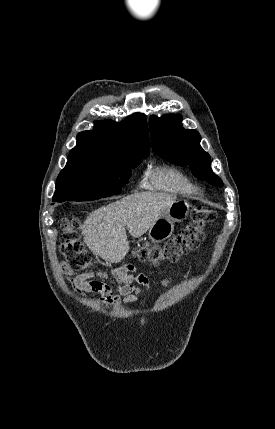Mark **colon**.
I'll list each match as a JSON object with an SVG mask.
<instances>
[{
	"instance_id": "obj_1",
	"label": "colon",
	"mask_w": 275,
	"mask_h": 429,
	"mask_svg": "<svg viewBox=\"0 0 275 429\" xmlns=\"http://www.w3.org/2000/svg\"><path fill=\"white\" fill-rule=\"evenodd\" d=\"M216 219L215 211L200 205L191 210L188 224L173 238L163 245L140 244L136 246L134 255L141 261L152 266H159L164 261H177L182 255L195 250L203 240L205 230ZM62 243L60 252L65 262L73 269L81 270L90 266L91 262L79 241V220L65 217L62 220Z\"/></svg>"
}]
</instances>
